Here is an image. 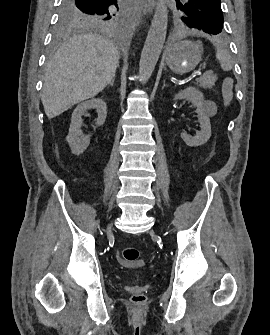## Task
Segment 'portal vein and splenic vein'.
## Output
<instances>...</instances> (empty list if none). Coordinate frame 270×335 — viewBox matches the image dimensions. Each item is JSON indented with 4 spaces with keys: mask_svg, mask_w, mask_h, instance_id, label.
I'll use <instances>...</instances> for the list:
<instances>
[{
    "mask_svg": "<svg viewBox=\"0 0 270 335\" xmlns=\"http://www.w3.org/2000/svg\"><path fill=\"white\" fill-rule=\"evenodd\" d=\"M205 65V64H204ZM204 67V66H203ZM193 73V72H192ZM195 75H198L200 76L201 75V72H195Z\"/></svg>",
    "mask_w": 270,
    "mask_h": 335,
    "instance_id": "obj_1",
    "label": "portal vein and splenic vein"
}]
</instances>
